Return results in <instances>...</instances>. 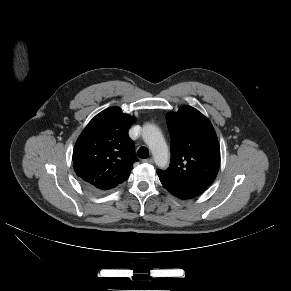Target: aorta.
I'll return each mask as SVG.
<instances>
[{
    "instance_id": "obj_1",
    "label": "aorta",
    "mask_w": 291,
    "mask_h": 291,
    "mask_svg": "<svg viewBox=\"0 0 291 291\" xmlns=\"http://www.w3.org/2000/svg\"><path fill=\"white\" fill-rule=\"evenodd\" d=\"M142 137L150 148L155 163L159 168H165L169 161V151L161 131L152 124L143 126Z\"/></svg>"
}]
</instances>
